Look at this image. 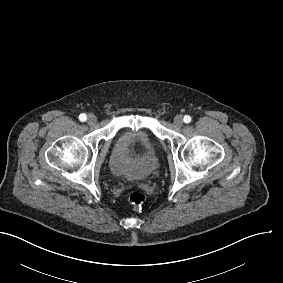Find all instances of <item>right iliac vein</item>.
Here are the masks:
<instances>
[{
    "label": "right iliac vein",
    "mask_w": 283,
    "mask_h": 283,
    "mask_svg": "<svg viewBox=\"0 0 283 283\" xmlns=\"http://www.w3.org/2000/svg\"><path fill=\"white\" fill-rule=\"evenodd\" d=\"M87 121L89 124H94L97 121V117L93 114H90L87 118Z\"/></svg>",
    "instance_id": "63e3f726"
}]
</instances>
